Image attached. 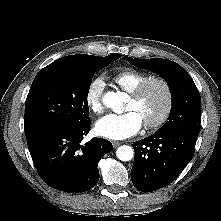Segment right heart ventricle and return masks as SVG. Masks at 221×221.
<instances>
[{
	"mask_svg": "<svg viewBox=\"0 0 221 221\" xmlns=\"http://www.w3.org/2000/svg\"><path fill=\"white\" fill-rule=\"evenodd\" d=\"M151 77L149 74L134 68L118 72L113 81L124 91L131 93L139 84Z\"/></svg>",
	"mask_w": 221,
	"mask_h": 221,
	"instance_id": "e07e8e85",
	"label": "right heart ventricle"
}]
</instances>
